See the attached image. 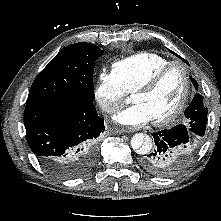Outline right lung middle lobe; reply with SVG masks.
Segmentation results:
<instances>
[{
	"label": "right lung middle lobe",
	"instance_id": "right-lung-middle-lobe-1",
	"mask_svg": "<svg viewBox=\"0 0 221 221\" xmlns=\"http://www.w3.org/2000/svg\"><path fill=\"white\" fill-rule=\"evenodd\" d=\"M102 55L103 50L91 43L66 47L36 77L26 105L60 100L93 101V71L96 59Z\"/></svg>",
	"mask_w": 221,
	"mask_h": 221
}]
</instances>
